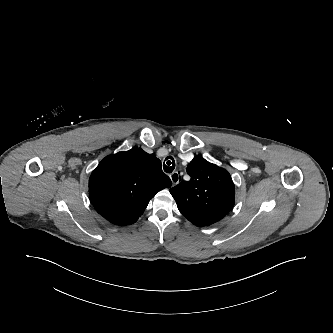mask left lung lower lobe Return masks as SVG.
I'll use <instances>...</instances> for the list:
<instances>
[{
  "label": "left lung lower lobe",
  "instance_id": "1",
  "mask_svg": "<svg viewBox=\"0 0 333 333\" xmlns=\"http://www.w3.org/2000/svg\"><path fill=\"white\" fill-rule=\"evenodd\" d=\"M179 211L193 224L199 226H207L221 220L229 211L215 210H199L186 206H178Z\"/></svg>",
  "mask_w": 333,
  "mask_h": 333
}]
</instances>
